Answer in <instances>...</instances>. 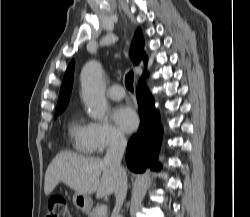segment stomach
Wrapping results in <instances>:
<instances>
[{
  "label": "stomach",
  "instance_id": "obj_1",
  "mask_svg": "<svg viewBox=\"0 0 250 217\" xmlns=\"http://www.w3.org/2000/svg\"><path fill=\"white\" fill-rule=\"evenodd\" d=\"M73 204L77 209L87 214L90 212L93 202L89 195L75 193L73 196Z\"/></svg>",
  "mask_w": 250,
  "mask_h": 217
}]
</instances>
